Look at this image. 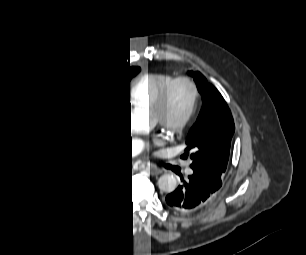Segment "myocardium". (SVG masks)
Returning a JSON list of instances; mask_svg holds the SVG:
<instances>
[{"label": "myocardium", "instance_id": "f54148a6", "mask_svg": "<svg viewBox=\"0 0 306 255\" xmlns=\"http://www.w3.org/2000/svg\"><path fill=\"white\" fill-rule=\"evenodd\" d=\"M186 85L191 90V99L186 113L182 118L175 122H168L165 119V114L169 102L175 93L176 89ZM200 101V89L194 79L188 76H181L175 78L154 100L153 108L155 113L159 116V120L171 131L180 133L183 131L195 117Z\"/></svg>", "mask_w": 306, "mask_h": 255}]
</instances>
